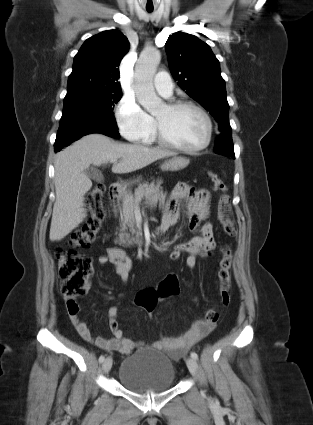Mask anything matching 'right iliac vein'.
Masks as SVG:
<instances>
[{
    "label": "right iliac vein",
    "mask_w": 313,
    "mask_h": 425,
    "mask_svg": "<svg viewBox=\"0 0 313 425\" xmlns=\"http://www.w3.org/2000/svg\"><path fill=\"white\" fill-rule=\"evenodd\" d=\"M112 367V358L107 357L102 364V370L104 373H108L111 370Z\"/></svg>",
    "instance_id": "right-iliac-vein-1"
}]
</instances>
